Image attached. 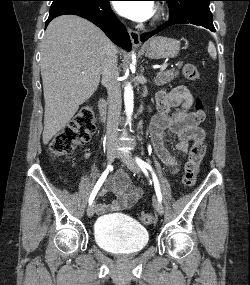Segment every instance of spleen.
<instances>
[{
	"label": "spleen",
	"mask_w": 250,
	"mask_h": 285,
	"mask_svg": "<svg viewBox=\"0 0 250 285\" xmlns=\"http://www.w3.org/2000/svg\"><path fill=\"white\" fill-rule=\"evenodd\" d=\"M208 53L212 59L217 58V52H216L215 45L211 41H209L208 43Z\"/></svg>",
	"instance_id": "spleen-1"
}]
</instances>
